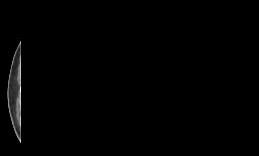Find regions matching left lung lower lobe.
<instances>
[{
    "instance_id": "0a47b994",
    "label": "left lung lower lobe",
    "mask_w": 259,
    "mask_h": 156,
    "mask_svg": "<svg viewBox=\"0 0 259 156\" xmlns=\"http://www.w3.org/2000/svg\"><path fill=\"white\" fill-rule=\"evenodd\" d=\"M191 73L190 68L174 69L166 64L162 70L158 68L146 74L143 80L140 100L147 124L163 139L176 140L188 133L192 129L190 120L197 113L216 107L214 94L201 89L190 92ZM188 95H194V104L185 102ZM201 119L197 120L199 125L204 121Z\"/></svg>"
}]
</instances>
